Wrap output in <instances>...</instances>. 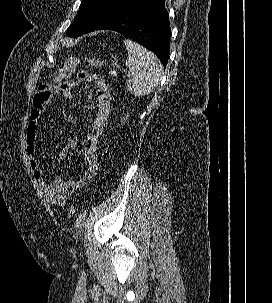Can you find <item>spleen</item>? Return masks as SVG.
<instances>
[{"instance_id": "3e777b00", "label": "spleen", "mask_w": 272, "mask_h": 303, "mask_svg": "<svg viewBox=\"0 0 272 303\" xmlns=\"http://www.w3.org/2000/svg\"><path fill=\"white\" fill-rule=\"evenodd\" d=\"M124 44L128 52L125 65L131 71V78L127 81L128 91L135 97L152 93L162 79V64L154 53L138 43L126 39Z\"/></svg>"}]
</instances>
